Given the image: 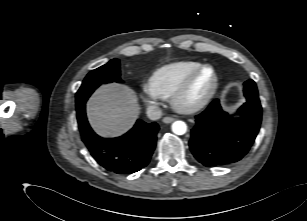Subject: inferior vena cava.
<instances>
[{"instance_id": "obj_1", "label": "inferior vena cava", "mask_w": 307, "mask_h": 221, "mask_svg": "<svg viewBox=\"0 0 307 221\" xmlns=\"http://www.w3.org/2000/svg\"><path fill=\"white\" fill-rule=\"evenodd\" d=\"M147 116L151 120H158L162 116V111H161V109L158 106L150 105L147 108Z\"/></svg>"}]
</instances>
